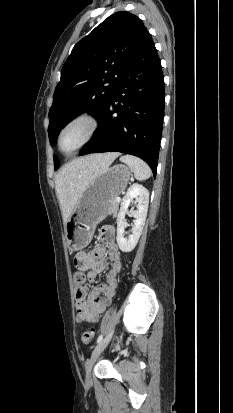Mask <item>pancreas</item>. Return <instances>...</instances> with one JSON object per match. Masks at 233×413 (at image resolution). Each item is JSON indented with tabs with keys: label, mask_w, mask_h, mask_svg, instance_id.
I'll use <instances>...</instances> for the list:
<instances>
[{
	"label": "pancreas",
	"mask_w": 233,
	"mask_h": 413,
	"mask_svg": "<svg viewBox=\"0 0 233 413\" xmlns=\"http://www.w3.org/2000/svg\"><path fill=\"white\" fill-rule=\"evenodd\" d=\"M118 207H119V202L112 200L109 206V213L112 214L113 216H116Z\"/></svg>",
	"instance_id": "pancreas-1"
}]
</instances>
